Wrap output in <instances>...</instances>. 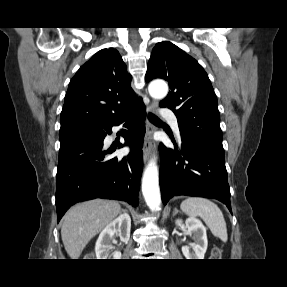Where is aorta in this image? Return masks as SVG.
I'll list each match as a JSON object with an SVG mask.
<instances>
[{
  "mask_svg": "<svg viewBox=\"0 0 287 287\" xmlns=\"http://www.w3.org/2000/svg\"><path fill=\"white\" fill-rule=\"evenodd\" d=\"M148 91L154 99H163L168 93V86L163 81H154L150 83ZM142 193L150 210H160L161 196L159 189V173L155 159H152L144 170Z\"/></svg>",
  "mask_w": 287,
  "mask_h": 287,
  "instance_id": "1",
  "label": "aorta"
}]
</instances>
